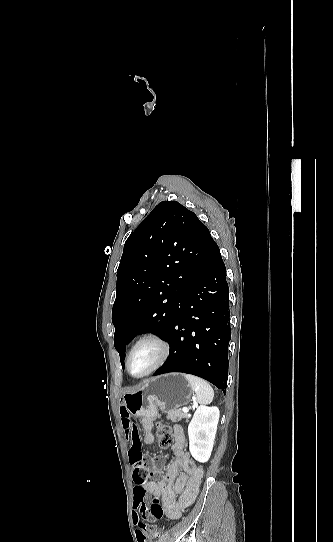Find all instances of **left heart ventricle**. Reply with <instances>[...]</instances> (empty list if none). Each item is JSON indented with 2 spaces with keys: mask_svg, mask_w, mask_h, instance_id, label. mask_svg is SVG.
<instances>
[{
  "mask_svg": "<svg viewBox=\"0 0 333 542\" xmlns=\"http://www.w3.org/2000/svg\"><path fill=\"white\" fill-rule=\"evenodd\" d=\"M158 350L152 343H146L139 347L130 361V371L133 374H142L147 371L156 361Z\"/></svg>",
  "mask_w": 333,
  "mask_h": 542,
  "instance_id": "b2bd125f",
  "label": "left heart ventricle"
}]
</instances>
